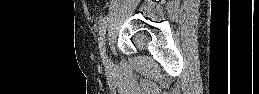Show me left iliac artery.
Segmentation results:
<instances>
[{
  "label": "left iliac artery",
  "instance_id": "1",
  "mask_svg": "<svg viewBox=\"0 0 259 94\" xmlns=\"http://www.w3.org/2000/svg\"><path fill=\"white\" fill-rule=\"evenodd\" d=\"M108 21H109V15H107L101 19L100 26H99L100 31H99L98 41H99V48L101 51V56L103 57V59H104V48L103 47H104L105 34H106Z\"/></svg>",
  "mask_w": 259,
  "mask_h": 94
}]
</instances>
